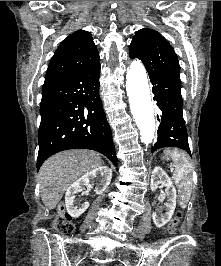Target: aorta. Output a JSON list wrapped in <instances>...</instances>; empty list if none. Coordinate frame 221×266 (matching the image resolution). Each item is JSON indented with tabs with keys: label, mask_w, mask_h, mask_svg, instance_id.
Here are the masks:
<instances>
[{
	"label": "aorta",
	"mask_w": 221,
	"mask_h": 266,
	"mask_svg": "<svg viewBox=\"0 0 221 266\" xmlns=\"http://www.w3.org/2000/svg\"><path fill=\"white\" fill-rule=\"evenodd\" d=\"M126 79L131 113L139 128L141 141L145 145H149L155 136L154 108L146 70L139 60L131 62Z\"/></svg>",
	"instance_id": "1"
}]
</instances>
